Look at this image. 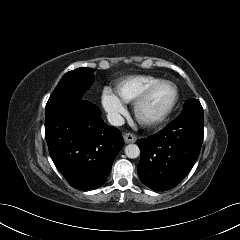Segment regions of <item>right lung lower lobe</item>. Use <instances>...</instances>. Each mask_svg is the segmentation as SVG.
<instances>
[{
  "mask_svg": "<svg viewBox=\"0 0 240 240\" xmlns=\"http://www.w3.org/2000/svg\"><path fill=\"white\" fill-rule=\"evenodd\" d=\"M100 115L96 105L82 98L46 106L45 138L50 156L76 189L101 186L124 146L120 131L105 124Z\"/></svg>",
  "mask_w": 240,
  "mask_h": 240,
  "instance_id": "right-lung-lower-lobe-1",
  "label": "right lung lower lobe"
}]
</instances>
